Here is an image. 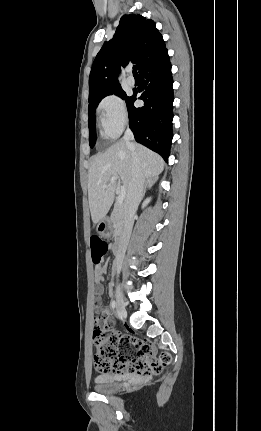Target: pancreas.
Wrapping results in <instances>:
<instances>
[{
    "label": "pancreas",
    "mask_w": 261,
    "mask_h": 431,
    "mask_svg": "<svg viewBox=\"0 0 261 431\" xmlns=\"http://www.w3.org/2000/svg\"><path fill=\"white\" fill-rule=\"evenodd\" d=\"M111 222L113 223L115 234H118L121 231L123 222H124L122 204H118V203L115 204L111 214Z\"/></svg>",
    "instance_id": "obj_1"
}]
</instances>
